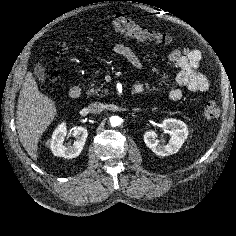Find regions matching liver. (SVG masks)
Wrapping results in <instances>:
<instances>
[{"instance_id": "liver-1", "label": "liver", "mask_w": 236, "mask_h": 236, "mask_svg": "<svg viewBox=\"0 0 236 236\" xmlns=\"http://www.w3.org/2000/svg\"><path fill=\"white\" fill-rule=\"evenodd\" d=\"M57 114L54 101L42 94L31 72H27L17 104L19 140L33 159L38 158V142Z\"/></svg>"}]
</instances>
